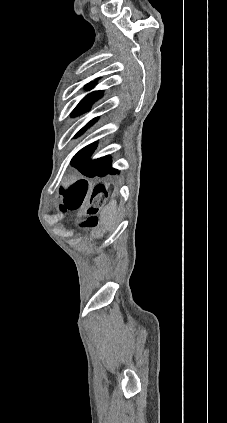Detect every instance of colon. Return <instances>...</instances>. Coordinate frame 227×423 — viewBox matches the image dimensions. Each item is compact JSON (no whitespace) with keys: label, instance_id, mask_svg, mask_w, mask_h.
<instances>
[{"label":"colon","instance_id":"1","mask_svg":"<svg viewBox=\"0 0 227 423\" xmlns=\"http://www.w3.org/2000/svg\"><path fill=\"white\" fill-rule=\"evenodd\" d=\"M86 186L84 184H77L72 187L69 191L63 194V205L64 209L74 211L77 210L84 199ZM104 198V192L101 186H98L95 191V195L92 203L88 207L86 214L88 216L86 220V226L94 227L96 226V213L98 212L99 206L101 205Z\"/></svg>","mask_w":227,"mask_h":423}]
</instances>
